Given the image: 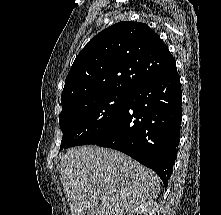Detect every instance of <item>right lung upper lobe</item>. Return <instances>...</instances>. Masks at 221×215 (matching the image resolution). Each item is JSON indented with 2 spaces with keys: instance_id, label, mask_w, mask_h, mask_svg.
Returning a JSON list of instances; mask_svg holds the SVG:
<instances>
[{
  "instance_id": "obj_1",
  "label": "right lung upper lobe",
  "mask_w": 221,
  "mask_h": 215,
  "mask_svg": "<svg viewBox=\"0 0 221 215\" xmlns=\"http://www.w3.org/2000/svg\"><path fill=\"white\" fill-rule=\"evenodd\" d=\"M173 61L148 25L116 23L93 37L76 57L61 95L62 108L99 95L129 94Z\"/></svg>"
}]
</instances>
